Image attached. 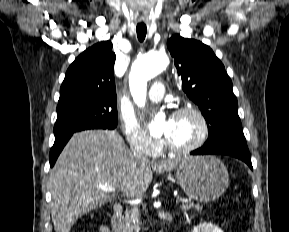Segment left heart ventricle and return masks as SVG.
<instances>
[{
	"mask_svg": "<svg viewBox=\"0 0 289 232\" xmlns=\"http://www.w3.org/2000/svg\"><path fill=\"white\" fill-rule=\"evenodd\" d=\"M166 139L174 146L183 147L195 142L201 132L198 119L191 113L172 117L162 127Z\"/></svg>",
	"mask_w": 289,
	"mask_h": 232,
	"instance_id": "left-heart-ventricle-1",
	"label": "left heart ventricle"
}]
</instances>
